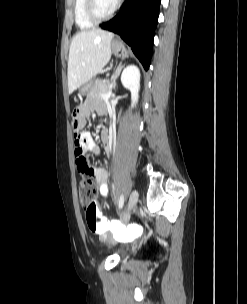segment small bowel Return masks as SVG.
I'll return each mask as SVG.
<instances>
[{
    "label": "small bowel",
    "instance_id": "small-bowel-1",
    "mask_svg": "<svg viewBox=\"0 0 247 304\" xmlns=\"http://www.w3.org/2000/svg\"><path fill=\"white\" fill-rule=\"evenodd\" d=\"M105 109V105L99 101H88L79 108H74L72 114L73 119H79L72 121V131L74 132L73 145L75 146L74 149L77 168L81 174L94 177L99 193L103 197H106L109 193L107 171L103 168L93 167L87 160L85 154L87 152L99 154V147L89 132H83V127L85 125L87 116L92 110H95L98 113H104ZM102 141L105 150L110 152L112 149V144L107 131L102 132ZM82 158H84L86 161L85 168H82L79 164V160Z\"/></svg>",
    "mask_w": 247,
    "mask_h": 304
}]
</instances>
